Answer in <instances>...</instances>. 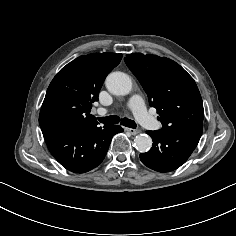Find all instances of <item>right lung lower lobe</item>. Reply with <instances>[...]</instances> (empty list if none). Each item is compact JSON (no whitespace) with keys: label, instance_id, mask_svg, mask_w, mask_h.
Masks as SVG:
<instances>
[{"label":"right lung lower lobe","instance_id":"1","mask_svg":"<svg viewBox=\"0 0 236 236\" xmlns=\"http://www.w3.org/2000/svg\"><path fill=\"white\" fill-rule=\"evenodd\" d=\"M122 131L120 126L94 125L52 128L42 133L49 151L63 167L74 173H85L100 165L113 135Z\"/></svg>","mask_w":236,"mask_h":236}]
</instances>
